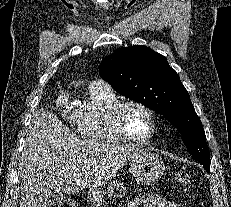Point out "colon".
Segmentation results:
<instances>
[{
    "instance_id": "colon-1",
    "label": "colon",
    "mask_w": 231,
    "mask_h": 207,
    "mask_svg": "<svg viewBox=\"0 0 231 207\" xmlns=\"http://www.w3.org/2000/svg\"><path fill=\"white\" fill-rule=\"evenodd\" d=\"M174 178L176 183L183 188H189L191 186L190 176L184 171L175 172ZM50 207H75V204L70 200H66L53 204Z\"/></svg>"
}]
</instances>
